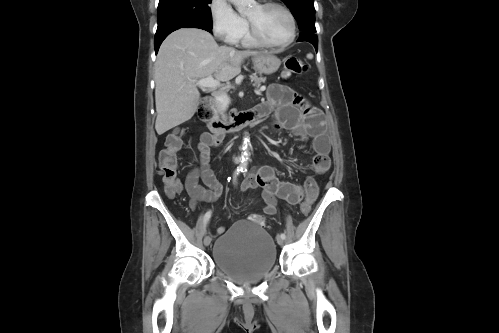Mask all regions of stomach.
<instances>
[{"label": "stomach", "instance_id": "stomach-1", "mask_svg": "<svg viewBox=\"0 0 499 333\" xmlns=\"http://www.w3.org/2000/svg\"><path fill=\"white\" fill-rule=\"evenodd\" d=\"M252 61L256 71L266 75L275 73L279 69V66L281 64L279 58H277L275 55L271 53H266V52L254 56L252 58Z\"/></svg>", "mask_w": 499, "mask_h": 333}]
</instances>
